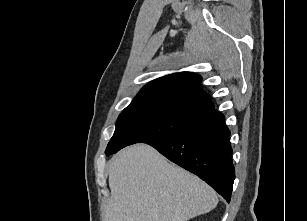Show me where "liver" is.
Instances as JSON below:
<instances>
[{"instance_id":"obj_1","label":"liver","mask_w":307,"mask_h":221,"mask_svg":"<svg viewBox=\"0 0 307 221\" xmlns=\"http://www.w3.org/2000/svg\"><path fill=\"white\" fill-rule=\"evenodd\" d=\"M109 187L106 221H188L218 204L209 185L146 144L111 159Z\"/></svg>"}]
</instances>
